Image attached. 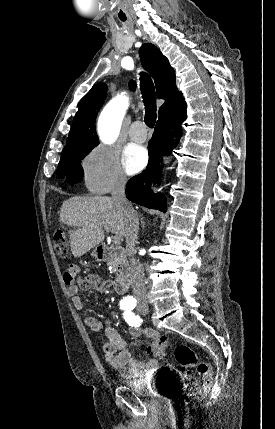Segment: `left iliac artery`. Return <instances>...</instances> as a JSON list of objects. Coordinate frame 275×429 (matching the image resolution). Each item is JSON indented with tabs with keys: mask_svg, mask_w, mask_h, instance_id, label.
Wrapping results in <instances>:
<instances>
[{
	"mask_svg": "<svg viewBox=\"0 0 275 429\" xmlns=\"http://www.w3.org/2000/svg\"><path fill=\"white\" fill-rule=\"evenodd\" d=\"M134 307H128V308H124V312H123V317L125 319V321L130 325V326H134V327H139L142 320L140 319L139 316H136L134 313H132V309Z\"/></svg>",
	"mask_w": 275,
	"mask_h": 429,
	"instance_id": "left-iliac-artery-1",
	"label": "left iliac artery"
}]
</instances>
